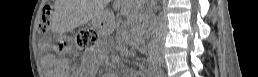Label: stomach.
I'll list each match as a JSON object with an SVG mask.
<instances>
[{
    "label": "stomach",
    "mask_w": 258,
    "mask_h": 77,
    "mask_svg": "<svg viewBox=\"0 0 258 77\" xmlns=\"http://www.w3.org/2000/svg\"><path fill=\"white\" fill-rule=\"evenodd\" d=\"M97 23H98V24H100V23H101V21H97Z\"/></svg>",
    "instance_id": "stomach-1"
}]
</instances>
